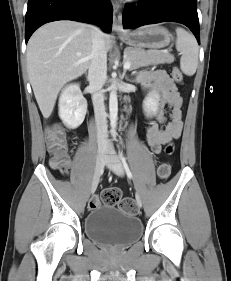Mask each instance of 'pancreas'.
Returning a JSON list of instances; mask_svg holds the SVG:
<instances>
[{"label":"pancreas","instance_id":"pancreas-1","mask_svg":"<svg viewBox=\"0 0 231 281\" xmlns=\"http://www.w3.org/2000/svg\"><path fill=\"white\" fill-rule=\"evenodd\" d=\"M125 62L131 63L130 69L134 70L139 67H146L149 65H158L164 63L174 62V56L156 50H144L140 48L128 47L124 50Z\"/></svg>","mask_w":231,"mask_h":281}]
</instances>
